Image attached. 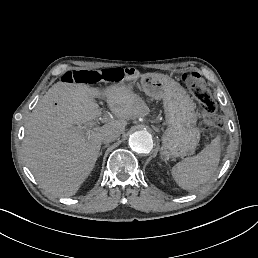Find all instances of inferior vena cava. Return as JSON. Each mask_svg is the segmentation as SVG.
<instances>
[{
  "instance_id": "1",
  "label": "inferior vena cava",
  "mask_w": 258,
  "mask_h": 258,
  "mask_svg": "<svg viewBox=\"0 0 258 258\" xmlns=\"http://www.w3.org/2000/svg\"><path fill=\"white\" fill-rule=\"evenodd\" d=\"M120 131H115L112 129H106L101 133V142L110 143L118 138Z\"/></svg>"
}]
</instances>
